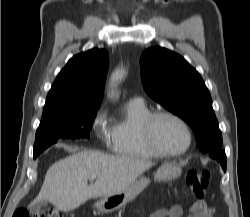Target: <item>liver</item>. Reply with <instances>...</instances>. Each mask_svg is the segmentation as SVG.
<instances>
[{"instance_id":"obj_1","label":"liver","mask_w":250,"mask_h":217,"mask_svg":"<svg viewBox=\"0 0 250 217\" xmlns=\"http://www.w3.org/2000/svg\"><path fill=\"white\" fill-rule=\"evenodd\" d=\"M153 163L144 159L82 151L54 163L30 207L44 201L71 211L91 198L113 195L131 186ZM96 177L94 184L88 179Z\"/></svg>"}]
</instances>
